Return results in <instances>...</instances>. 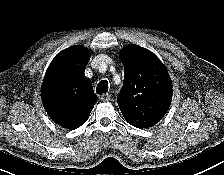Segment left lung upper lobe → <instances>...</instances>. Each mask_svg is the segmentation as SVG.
<instances>
[{
  "mask_svg": "<svg viewBox=\"0 0 224 175\" xmlns=\"http://www.w3.org/2000/svg\"><path fill=\"white\" fill-rule=\"evenodd\" d=\"M124 83L117 102L131 125L148 128L166 114L172 100V83L165 66L149 50L130 45L120 52Z\"/></svg>",
  "mask_w": 224,
  "mask_h": 175,
  "instance_id": "1",
  "label": "left lung upper lobe"
}]
</instances>
